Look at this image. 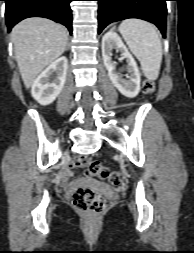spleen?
<instances>
[{
  "label": "spleen",
  "instance_id": "3e777b00",
  "mask_svg": "<svg viewBox=\"0 0 194 253\" xmlns=\"http://www.w3.org/2000/svg\"><path fill=\"white\" fill-rule=\"evenodd\" d=\"M119 31L140 61L145 77L156 80L162 61V45L156 28L147 21L126 19L120 24Z\"/></svg>",
  "mask_w": 194,
  "mask_h": 253
}]
</instances>
